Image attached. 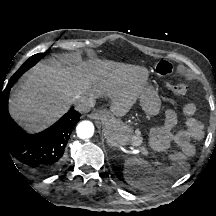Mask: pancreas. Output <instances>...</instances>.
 Returning a JSON list of instances; mask_svg holds the SVG:
<instances>
[{"mask_svg": "<svg viewBox=\"0 0 216 216\" xmlns=\"http://www.w3.org/2000/svg\"><path fill=\"white\" fill-rule=\"evenodd\" d=\"M133 142L137 145H140L142 143V137L139 133L136 134V136L133 139Z\"/></svg>", "mask_w": 216, "mask_h": 216, "instance_id": "cf45deb5", "label": "pancreas"}]
</instances>
